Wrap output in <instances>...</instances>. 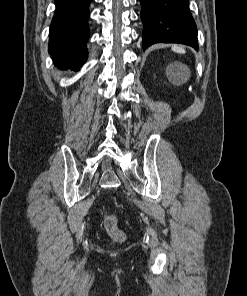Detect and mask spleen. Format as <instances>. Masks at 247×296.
<instances>
[{
    "label": "spleen",
    "instance_id": "obj_1",
    "mask_svg": "<svg viewBox=\"0 0 247 296\" xmlns=\"http://www.w3.org/2000/svg\"><path fill=\"white\" fill-rule=\"evenodd\" d=\"M172 50L177 53H185V50L182 47L177 45L172 46ZM178 70L181 71V75L178 78V82L183 83L187 80L189 74L187 71H185V68L182 66H180Z\"/></svg>",
    "mask_w": 247,
    "mask_h": 296
}]
</instances>
